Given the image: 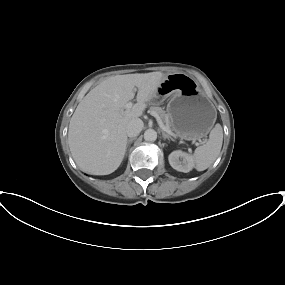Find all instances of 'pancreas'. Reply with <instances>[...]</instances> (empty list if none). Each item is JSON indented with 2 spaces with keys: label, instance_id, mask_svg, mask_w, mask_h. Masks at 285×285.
I'll return each instance as SVG.
<instances>
[{
  "label": "pancreas",
  "instance_id": "cf45deb5",
  "mask_svg": "<svg viewBox=\"0 0 285 285\" xmlns=\"http://www.w3.org/2000/svg\"><path fill=\"white\" fill-rule=\"evenodd\" d=\"M150 110L153 112H156L161 117V119L165 123V125L167 127H169L170 129H173L172 125H171L170 117H169L168 113H166L165 110H163L161 107H157V106H151Z\"/></svg>",
  "mask_w": 285,
  "mask_h": 285
}]
</instances>
